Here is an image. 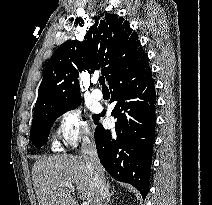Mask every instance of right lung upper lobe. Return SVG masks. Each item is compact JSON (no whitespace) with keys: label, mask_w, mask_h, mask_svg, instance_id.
Masks as SVG:
<instances>
[{"label":"right lung upper lobe","mask_w":212,"mask_h":205,"mask_svg":"<svg viewBox=\"0 0 212 205\" xmlns=\"http://www.w3.org/2000/svg\"><path fill=\"white\" fill-rule=\"evenodd\" d=\"M144 53L138 34L127 20L115 14H100L82 42L66 41L53 53L44 70L35 109L82 100L79 71L92 73L102 68L101 73L109 82L119 69Z\"/></svg>","instance_id":"obj_1"}]
</instances>
